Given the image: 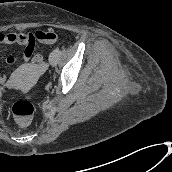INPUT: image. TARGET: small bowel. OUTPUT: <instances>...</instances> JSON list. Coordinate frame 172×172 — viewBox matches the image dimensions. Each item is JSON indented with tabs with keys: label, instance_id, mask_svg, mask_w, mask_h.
Here are the masks:
<instances>
[{
	"label": "small bowel",
	"instance_id": "small-bowel-1",
	"mask_svg": "<svg viewBox=\"0 0 172 172\" xmlns=\"http://www.w3.org/2000/svg\"><path fill=\"white\" fill-rule=\"evenodd\" d=\"M46 31L31 32H9L0 33V48H4L9 45L18 44L23 46L22 57L26 62L36 61L35 57L39 54L34 55V50L37 42L45 43L42 38ZM17 59L15 56L10 55L6 58L8 65H14ZM6 81L4 75L0 76V83Z\"/></svg>",
	"mask_w": 172,
	"mask_h": 172
}]
</instances>
